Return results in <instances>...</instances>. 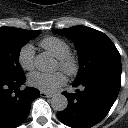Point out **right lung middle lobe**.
Instances as JSON below:
<instances>
[{
    "label": "right lung middle lobe",
    "instance_id": "1",
    "mask_svg": "<svg viewBox=\"0 0 128 128\" xmlns=\"http://www.w3.org/2000/svg\"><path fill=\"white\" fill-rule=\"evenodd\" d=\"M39 33L40 30L0 27V79L10 80L24 75L18 62L20 50Z\"/></svg>",
    "mask_w": 128,
    "mask_h": 128
}]
</instances>
